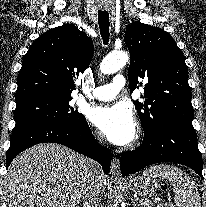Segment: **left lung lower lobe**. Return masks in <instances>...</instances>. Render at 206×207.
Listing matches in <instances>:
<instances>
[{
    "label": "left lung lower lobe",
    "instance_id": "left-lung-lower-lobe-1",
    "mask_svg": "<svg viewBox=\"0 0 206 207\" xmlns=\"http://www.w3.org/2000/svg\"><path fill=\"white\" fill-rule=\"evenodd\" d=\"M158 162L186 165L202 177V157L192 120L169 121L145 136L141 146L122 155L120 168L127 176Z\"/></svg>",
    "mask_w": 206,
    "mask_h": 207
}]
</instances>
